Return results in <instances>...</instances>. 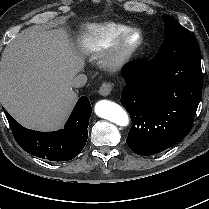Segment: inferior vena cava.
<instances>
[{
    "label": "inferior vena cava",
    "mask_w": 209,
    "mask_h": 209,
    "mask_svg": "<svg viewBox=\"0 0 209 209\" xmlns=\"http://www.w3.org/2000/svg\"><path fill=\"white\" fill-rule=\"evenodd\" d=\"M87 83V76L79 74L72 80V86L75 88L83 87Z\"/></svg>",
    "instance_id": "602c4592"
}]
</instances>
